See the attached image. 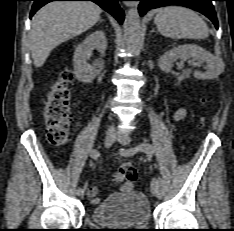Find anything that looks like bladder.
Listing matches in <instances>:
<instances>
[{
    "label": "bladder",
    "instance_id": "bladder-1",
    "mask_svg": "<svg viewBox=\"0 0 234 231\" xmlns=\"http://www.w3.org/2000/svg\"><path fill=\"white\" fill-rule=\"evenodd\" d=\"M95 223L108 226H138L151 218L150 201L139 191L109 196L93 207L90 213Z\"/></svg>",
    "mask_w": 234,
    "mask_h": 231
}]
</instances>
